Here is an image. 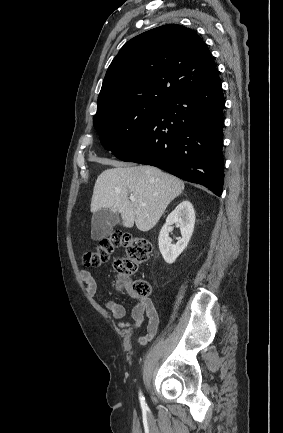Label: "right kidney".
Returning a JSON list of instances; mask_svg holds the SVG:
<instances>
[{
	"label": "right kidney",
	"instance_id": "1",
	"mask_svg": "<svg viewBox=\"0 0 283 433\" xmlns=\"http://www.w3.org/2000/svg\"><path fill=\"white\" fill-rule=\"evenodd\" d=\"M176 223L180 227L182 238L172 244L169 238V227ZM195 224V211L189 201L181 202L166 218L159 237V250L168 264L175 262L177 257L187 247L192 236Z\"/></svg>",
	"mask_w": 283,
	"mask_h": 433
}]
</instances>
